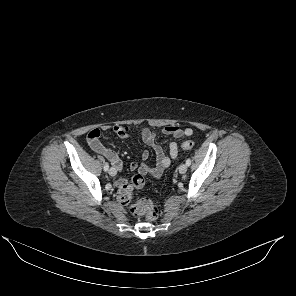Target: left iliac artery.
I'll list each match as a JSON object with an SVG mask.
<instances>
[{
  "label": "left iliac artery",
  "instance_id": "44dca946",
  "mask_svg": "<svg viewBox=\"0 0 296 296\" xmlns=\"http://www.w3.org/2000/svg\"><path fill=\"white\" fill-rule=\"evenodd\" d=\"M186 165H187V166H190V165H191V160H190V159H187V160H186Z\"/></svg>",
  "mask_w": 296,
  "mask_h": 296
}]
</instances>
